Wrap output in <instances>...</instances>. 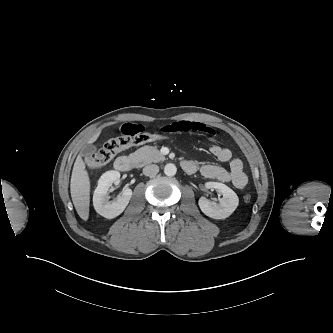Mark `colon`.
<instances>
[{"mask_svg":"<svg viewBox=\"0 0 333 333\" xmlns=\"http://www.w3.org/2000/svg\"><path fill=\"white\" fill-rule=\"evenodd\" d=\"M169 137L157 133H141L135 136H120L107 141L103 147L96 153L86 158V163L90 168H99L107 164L119 152L132 146H139L149 142L166 141ZM244 201L249 203L251 195L246 194Z\"/></svg>","mask_w":333,"mask_h":333,"instance_id":"colon-1","label":"colon"}]
</instances>
